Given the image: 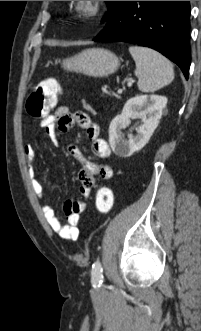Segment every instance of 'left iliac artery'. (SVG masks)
<instances>
[{"label": "left iliac artery", "mask_w": 201, "mask_h": 331, "mask_svg": "<svg viewBox=\"0 0 201 331\" xmlns=\"http://www.w3.org/2000/svg\"><path fill=\"white\" fill-rule=\"evenodd\" d=\"M103 268L99 260H97L93 265H92V271H91V276H92V285L95 288H98L101 286L103 282Z\"/></svg>", "instance_id": "1"}]
</instances>
